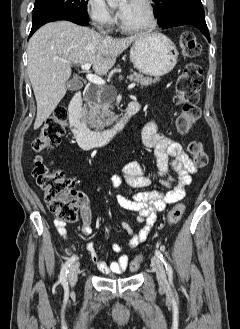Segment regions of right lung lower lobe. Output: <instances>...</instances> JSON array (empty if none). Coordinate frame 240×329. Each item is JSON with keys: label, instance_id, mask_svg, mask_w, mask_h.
Here are the masks:
<instances>
[{"label": "right lung lower lobe", "instance_id": "98d812e1", "mask_svg": "<svg viewBox=\"0 0 240 329\" xmlns=\"http://www.w3.org/2000/svg\"><path fill=\"white\" fill-rule=\"evenodd\" d=\"M32 20L33 23H32L30 36L43 24L56 20H67L82 26L89 25V20L73 17V16L58 15V14H39L34 16Z\"/></svg>", "mask_w": 240, "mask_h": 329}]
</instances>
